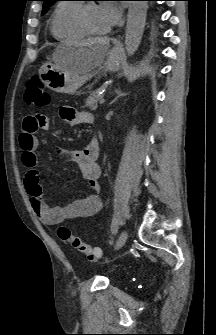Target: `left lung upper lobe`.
Here are the masks:
<instances>
[{
    "label": "left lung upper lobe",
    "mask_w": 216,
    "mask_h": 335,
    "mask_svg": "<svg viewBox=\"0 0 216 335\" xmlns=\"http://www.w3.org/2000/svg\"><path fill=\"white\" fill-rule=\"evenodd\" d=\"M41 1H44L43 10H42V14L44 15L45 13H47L49 8L58 0H41Z\"/></svg>",
    "instance_id": "obj_1"
}]
</instances>
